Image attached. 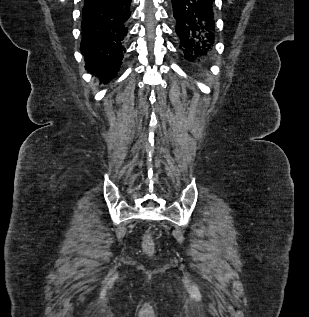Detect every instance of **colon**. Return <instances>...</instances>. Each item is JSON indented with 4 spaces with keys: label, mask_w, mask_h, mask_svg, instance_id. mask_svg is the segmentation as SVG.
<instances>
[{
    "label": "colon",
    "mask_w": 309,
    "mask_h": 317,
    "mask_svg": "<svg viewBox=\"0 0 309 317\" xmlns=\"http://www.w3.org/2000/svg\"><path fill=\"white\" fill-rule=\"evenodd\" d=\"M141 247L143 252L148 255L152 256L155 252V244L152 236L150 234H145L142 238Z\"/></svg>",
    "instance_id": "colon-1"
}]
</instances>
